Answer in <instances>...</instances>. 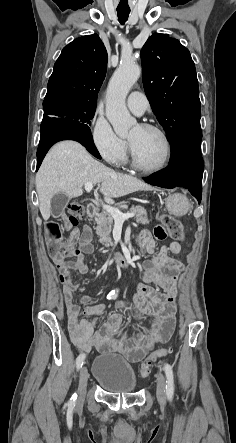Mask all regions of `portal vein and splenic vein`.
<instances>
[{
  "label": "portal vein and splenic vein",
  "mask_w": 236,
  "mask_h": 443,
  "mask_svg": "<svg viewBox=\"0 0 236 443\" xmlns=\"http://www.w3.org/2000/svg\"><path fill=\"white\" fill-rule=\"evenodd\" d=\"M86 192H90L93 189V183L87 182L84 185ZM103 209L108 212L116 222H124L125 220L135 216L134 213L123 214L119 209L111 207L109 205H103Z\"/></svg>",
  "instance_id": "18ae733b"
}]
</instances>
